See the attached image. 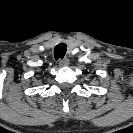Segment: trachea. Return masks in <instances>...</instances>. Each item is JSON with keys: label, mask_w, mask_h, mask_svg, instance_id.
Segmentation results:
<instances>
[{"label": "trachea", "mask_w": 133, "mask_h": 133, "mask_svg": "<svg viewBox=\"0 0 133 133\" xmlns=\"http://www.w3.org/2000/svg\"><path fill=\"white\" fill-rule=\"evenodd\" d=\"M67 47L66 44L60 43L54 49V57L55 59H62L66 53Z\"/></svg>", "instance_id": "trachea-1"}]
</instances>
